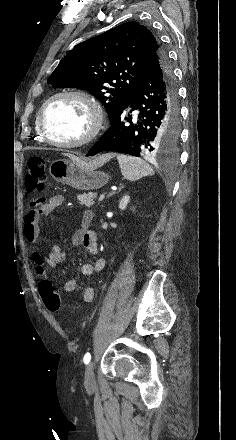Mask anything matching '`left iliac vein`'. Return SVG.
I'll list each match as a JSON object with an SVG mask.
<instances>
[{"label": "left iliac vein", "mask_w": 236, "mask_h": 440, "mask_svg": "<svg viewBox=\"0 0 236 440\" xmlns=\"http://www.w3.org/2000/svg\"><path fill=\"white\" fill-rule=\"evenodd\" d=\"M95 363L93 361L89 362L85 369V387L87 390H93L95 388V376H94Z\"/></svg>", "instance_id": "obj_1"}]
</instances>
